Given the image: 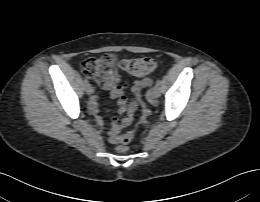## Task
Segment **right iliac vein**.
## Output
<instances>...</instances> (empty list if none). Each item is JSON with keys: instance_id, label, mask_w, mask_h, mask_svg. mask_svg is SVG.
Segmentation results:
<instances>
[{"instance_id": "63e3f726", "label": "right iliac vein", "mask_w": 260, "mask_h": 202, "mask_svg": "<svg viewBox=\"0 0 260 202\" xmlns=\"http://www.w3.org/2000/svg\"><path fill=\"white\" fill-rule=\"evenodd\" d=\"M85 90H86V93H87L88 95H91V94L93 93V88H92V86L89 85V84L86 85Z\"/></svg>"}]
</instances>
